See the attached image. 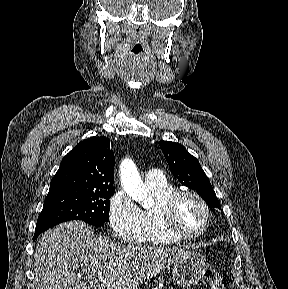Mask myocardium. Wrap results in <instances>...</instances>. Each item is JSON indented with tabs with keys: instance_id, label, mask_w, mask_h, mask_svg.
Here are the masks:
<instances>
[{
	"instance_id": "myocardium-1",
	"label": "myocardium",
	"mask_w": 288,
	"mask_h": 289,
	"mask_svg": "<svg viewBox=\"0 0 288 289\" xmlns=\"http://www.w3.org/2000/svg\"><path fill=\"white\" fill-rule=\"evenodd\" d=\"M194 198L202 207L205 216L203 227L194 233H187L180 230L175 220V209L178 202L183 198ZM158 218L162 228L170 235L181 240H192L204 235L211 225V212L204 198L191 190H176L175 192L165 196L157 207Z\"/></svg>"
}]
</instances>
